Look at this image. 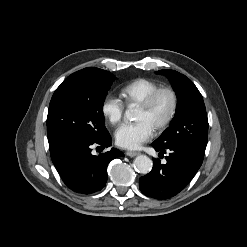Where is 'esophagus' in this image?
I'll list each match as a JSON object with an SVG mask.
<instances>
[{
    "label": "esophagus",
    "instance_id": "obj_1",
    "mask_svg": "<svg viewBox=\"0 0 247 247\" xmlns=\"http://www.w3.org/2000/svg\"><path fill=\"white\" fill-rule=\"evenodd\" d=\"M138 154H139V152H136V151H127L126 152V155L129 157H135Z\"/></svg>",
    "mask_w": 247,
    "mask_h": 247
}]
</instances>
